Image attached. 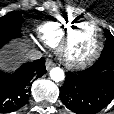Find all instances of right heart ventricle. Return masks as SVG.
<instances>
[{
  "mask_svg": "<svg viewBox=\"0 0 114 114\" xmlns=\"http://www.w3.org/2000/svg\"><path fill=\"white\" fill-rule=\"evenodd\" d=\"M76 23L73 16L49 20L37 28L38 40L48 47H57L66 32Z\"/></svg>",
  "mask_w": 114,
  "mask_h": 114,
  "instance_id": "e07e8e85",
  "label": "right heart ventricle"
}]
</instances>
